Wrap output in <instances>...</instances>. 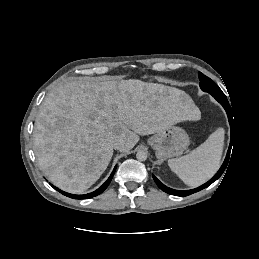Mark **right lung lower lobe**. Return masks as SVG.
<instances>
[{
    "label": "right lung lower lobe",
    "mask_w": 259,
    "mask_h": 259,
    "mask_svg": "<svg viewBox=\"0 0 259 259\" xmlns=\"http://www.w3.org/2000/svg\"><path fill=\"white\" fill-rule=\"evenodd\" d=\"M115 170H116V167L114 168L113 172L111 173L110 177L107 179V181L100 187L98 188L96 191L92 192V193H88V194H85V195H74V194H69V193H66L64 191H61L60 189L56 188L55 186L52 185V187L54 189H56L57 191H59L60 193H62L63 195L65 196H68L70 198H73V199H88V198H92L94 196H97L99 195L100 193H102L106 188L107 186L109 185L114 173H115Z\"/></svg>",
    "instance_id": "98d812e1"
}]
</instances>
